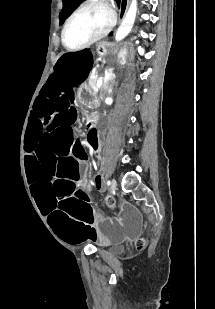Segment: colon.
Wrapping results in <instances>:
<instances>
[{"label": "colon", "mask_w": 215, "mask_h": 309, "mask_svg": "<svg viewBox=\"0 0 215 309\" xmlns=\"http://www.w3.org/2000/svg\"><path fill=\"white\" fill-rule=\"evenodd\" d=\"M112 201V199H109V202H111Z\"/></svg>", "instance_id": "colon-1"}]
</instances>
